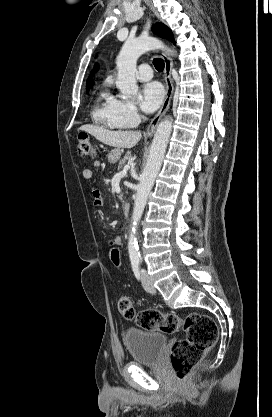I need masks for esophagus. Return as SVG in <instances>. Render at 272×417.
Listing matches in <instances>:
<instances>
[{
	"mask_svg": "<svg viewBox=\"0 0 272 417\" xmlns=\"http://www.w3.org/2000/svg\"><path fill=\"white\" fill-rule=\"evenodd\" d=\"M162 58L164 61V75H165V84H166V95L165 99L163 101V104L158 111V113L155 115V117L150 122L148 128H147V135L151 136L156 130V127L161 120V118L165 115L167 110L169 109L173 92H174V84L172 79V61L171 58L165 53H162Z\"/></svg>",
	"mask_w": 272,
	"mask_h": 417,
	"instance_id": "esophagus-1",
	"label": "esophagus"
}]
</instances>
